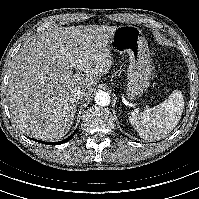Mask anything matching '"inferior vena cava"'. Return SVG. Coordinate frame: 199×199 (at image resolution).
Returning <instances> with one entry per match:
<instances>
[{
    "instance_id": "602c4592",
    "label": "inferior vena cava",
    "mask_w": 199,
    "mask_h": 199,
    "mask_svg": "<svg viewBox=\"0 0 199 199\" xmlns=\"http://www.w3.org/2000/svg\"><path fill=\"white\" fill-rule=\"evenodd\" d=\"M71 98L76 102L80 103L85 99V92L79 88H74L71 91Z\"/></svg>"
}]
</instances>
